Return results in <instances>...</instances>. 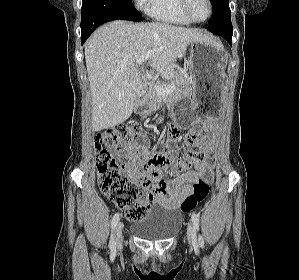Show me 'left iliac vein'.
<instances>
[{"instance_id": "obj_1", "label": "left iliac vein", "mask_w": 299, "mask_h": 280, "mask_svg": "<svg viewBox=\"0 0 299 280\" xmlns=\"http://www.w3.org/2000/svg\"><path fill=\"white\" fill-rule=\"evenodd\" d=\"M187 238L190 244H194L197 242L196 232L193 230V226L191 223L188 224L187 228Z\"/></svg>"}]
</instances>
